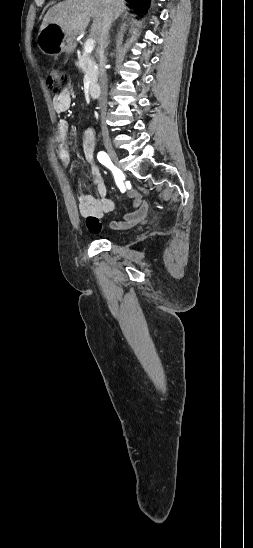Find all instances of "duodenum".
<instances>
[{
    "label": "duodenum",
    "instance_id": "410a0bca",
    "mask_svg": "<svg viewBox=\"0 0 253 548\" xmlns=\"http://www.w3.org/2000/svg\"><path fill=\"white\" fill-rule=\"evenodd\" d=\"M90 96L92 98H98L100 96V88L96 85L90 88Z\"/></svg>",
    "mask_w": 253,
    "mask_h": 548
}]
</instances>
